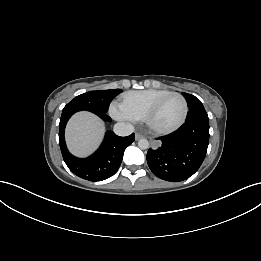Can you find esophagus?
Masks as SVG:
<instances>
[{
    "label": "esophagus",
    "instance_id": "1",
    "mask_svg": "<svg viewBox=\"0 0 261 261\" xmlns=\"http://www.w3.org/2000/svg\"><path fill=\"white\" fill-rule=\"evenodd\" d=\"M141 138H143V135L139 134V133H136L135 134V140H140Z\"/></svg>",
    "mask_w": 261,
    "mask_h": 261
}]
</instances>
